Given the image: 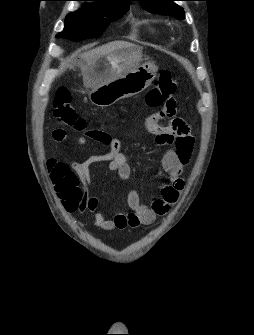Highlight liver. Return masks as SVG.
Listing matches in <instances>:
<instances>
[{
	"label": "liver",
	"mask_w": 254,
	"mask_h": 335,
	"mask_svg": "<svg viewBox=\"0 0 254 335\" xmlns=\"http://www.w3.org/2000/svg\"><path fill=\"white\" fill-rule=\"evenodd\" d=\"M127 46H133V45L128 42H124V41H114V42H110L105 45L99 46L95 49H92L82 54L84 64L81 66V70L83 73L85 85L88 87L86 80H85L87 73L90 70L91 66L94 65V63L98 59L104 56L110 55L111 53L115 52L117 49L127 47Z\"/></svg>",
	"instance_id": "1"
}]
</instances>
